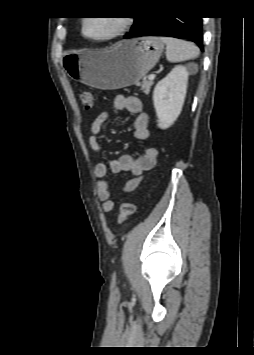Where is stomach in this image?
<instances>
[{
  "mask_svg": "<svg viewBox=\"0 0 254 355\" xmlns=\"http://www.w3.org/2000/svg\"><path fill=\"white\" fill-rule=\"evenodd\" d=\"M163 49L164 42L158 37L133 38L103 50L67 52L62 66L74 80L114 90L139 83L157 63Z\"/></svg>",
  "mask_w": 254,
  "mask_h": 355,
  "instance_id": "stomach-1",
  "label": "stomach"
}]
</instances>
